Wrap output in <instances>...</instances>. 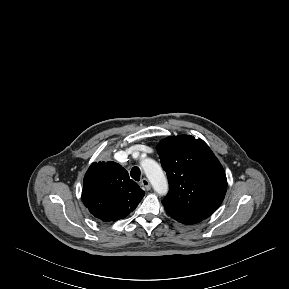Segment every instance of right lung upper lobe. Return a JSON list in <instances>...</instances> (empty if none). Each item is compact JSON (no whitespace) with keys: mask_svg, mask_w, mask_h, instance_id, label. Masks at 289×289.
<instances>
[{"mask_svg":"<svg viewBox=\"0 0 289 289\" xmlns=\"http://www.w3.org/2000/svg\"><path fill=\"white\" fill-rule=\"evenodd\" d=\"M82 201L103 222L117 221L132 212L144 191L118 163L93 162L83 180Z\"/></svg>","mask_w":289,"mask_h":289,"instance_id":"1","label":"right lung upper lobe"}]
</instances>
